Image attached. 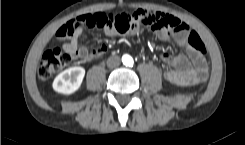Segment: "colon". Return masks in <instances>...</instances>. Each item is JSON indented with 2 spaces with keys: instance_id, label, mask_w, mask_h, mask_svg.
<instances>
[{
  "instance_id": "5ec220e1",
  "label": "colon",
  "mask_w": 245,
  "mask_h": 145,
  "mask_svg": "<svg viewBox=\"0 0 245 145\" xmlns=\"http://www.w3.org/2000/svg\"><path fill=\"white\" fill-rule=\"evenodd\" d=\"M89 27L96 26L100 29L125 33L129 30L142 25L154 28H166L172 32H182L185 27L184 24L177 18L168 14L152 12L139 9L134 13L122 12L115 17H110L108 14H92L87 16ZM79 26L78 17L67 21L59 30V36L66 38L70 36L74 29ZM188 42L191 47L199 52L205 49L203 41L196 33H191L188 37ZM70 57L67 52H64L59 47L48 48L41 59L38 75L41 79L46 80L55 74L60 68L68 66Z\"/></svg>"
}]
</instances>
